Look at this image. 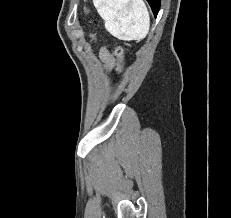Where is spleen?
Segmentation results:
<instances>
[{
    "instance_id": "spleen-1",
    "label": "spleen",
    "mask_w": 231,
    "mask_h": 218,
    "mask_svg": "<svg viewBox=\"0 0 231 218\" xmlns=\"http://www.w3.org/2000/svg\"><path fill=\"white\" fill-rule=\"evenodd\" d=\"M106 30L124 40L144 39L150 27V17L143 0H93Z\"/></svg>"
}]
</instances>
